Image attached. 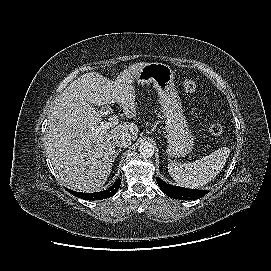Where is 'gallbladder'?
<instances>
[{
    "instance_id": "1",
    "label": "gallbladder",
    "mask_w": 271,
    "mask_h": 271,
    "mask_svg": "<svg viewBox=\"0 0 271 271\" xmlns=\"http://www.w3.org/2000/svg\"><path fill=\"white\" fill-rule=\"evenodd\" d=\"M105 111L111 112V109L108 106H102L100 112L104 113Z\"/></svg>"
}]
</instances>
